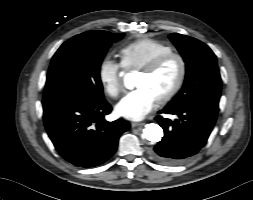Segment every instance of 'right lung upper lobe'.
Returning <instances> with one entry per match:
<instances>
[{
  "mask_svg": "<svg viewBox=\"0 0 253 200\" xmlns=\"http://www.w3.org/2000/svg\"><path fill=\"white\" fill-rule=\"evenodd\" d=\"M87 33L97 35V36H105L109 34V32H106V31H88Z\"/></svg>",
  "mask_w": 253,
  "mask_h": 200,
  "instance_id": "1",
  "label": "right lung upper lobe"
}]
</instances>
